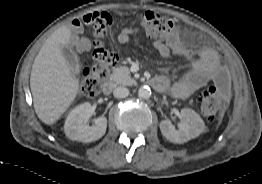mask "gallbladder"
Returning a JSON list of instances; mask_svg holds the SVG:
<instances>
[{"label": "gallbladder", "instance_id": "1", "mask_svg": "<svg viewBox=\"0 0 262 184\" xmlns=\"http://www.w3.org/2000/svg\"><path fill=\"white\" fill-rule=\"evenodd\" d=\"M62 51L70 70L75 74L79 73L80 63L77 54L70 47H64Z\"/></svg>", "mask_w": 262, "mask_h": 184}]
</instances>
